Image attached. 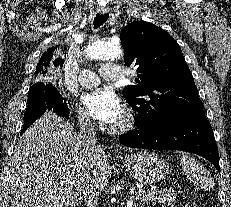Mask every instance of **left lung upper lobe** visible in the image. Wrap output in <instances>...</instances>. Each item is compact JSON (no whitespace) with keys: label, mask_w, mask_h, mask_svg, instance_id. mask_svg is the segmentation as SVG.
Returning <instances> with one entry per match:
<instances>
[{"label":"left lung upper lobe","mask_w":231,"mask_h":207,"mask_svg":"<svg viewBox=\"0 0 231 207\" xmlns=\"http://www.w3.org/2000/svg\"><path fill=\"white\" fill-rule=\"evenodd\" d=\"M125 65L137 68L136 85L124 96L138 115V128L156 130L184 113L203 110L192 73L178 43L163 29L136 21L120 34Z\"/></svg>","instance_id":"5c2ea615"}]
</instances>
